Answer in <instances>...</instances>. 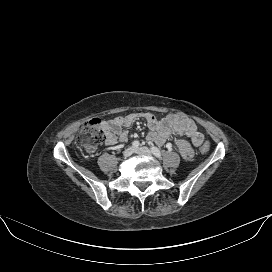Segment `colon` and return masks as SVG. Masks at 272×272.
<instances>
[{
    "mask_svg": "<svg viewBox=\"0 0 272 272\" xmlns=\"http://www.w3.org/2000/svg\"><path fill=\"white\" fill-rule=\"evenodd\" d=\"M105 138V133L100 126L99 119L93 118L83 124L76 135L75 142L78 146L89 148L102 142ZM200 150L206 153L210 150V145L204 143Z\"/></svg>",
    "mask_w": 272,
    "mask_h": 272,
    "instance_id": "obj_1",
    "label": "colon"
}]
</instances>
